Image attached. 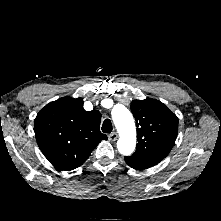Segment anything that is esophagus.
I'll return each mask as SVG.
<instances>
[{"label": "esophagus", "mask_w": 221, "mask_h": 221, "mask_svg": "<svg viewBox=\"0 0 221 221\" xmlns=\"http://www.w3.org/2000/svg\"><path fill=\"white\" fill-rule=\"evenodd\" d=\"M117 138H118V134L116 132L110 133L108 135V140L111 141V142L116 141Z\"/></svg>", "instance_id": "34e87169"}]
</instances>
